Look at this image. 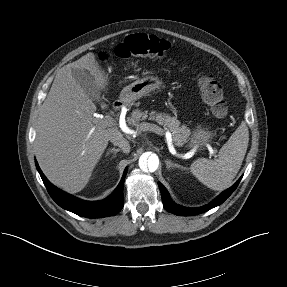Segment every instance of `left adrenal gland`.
I'll return each mask as SVG.
<instances>
[{
    "instance_id": "left-adrenal-gland-1",
    "label": "left adrenal gland",
    "mask_w": 287,
    "mask_h": 287,
    "mask_svg": "<svg viewBox=\"0 0 287 287\" xmlns=\"http://www.w3.org/2000/svg\"><path fill=\"white\" fill-rule=\"evenodd\" d=\"M165 164H166V168L168 170L173 169V168H179L181 170H185L186 169L185 167H183V166H181V165H179L177 163H174V162H172L171 160H168V159L165 160Z\"/></svg>"
}]
</instances>
